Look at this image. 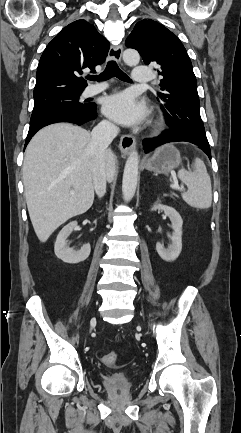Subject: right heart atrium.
<instances>
[{
    "mask_svg": "<svg viewBox=\"0 0 241 433\" xmlns=\"http://www.w3.org/2000/svg\"><path fill=\"white\" fill-rule=\"evenodd\" d=\"M103 127H104V129H106V130H110L112 127H111V125L109 124V123H107V122H104L103 123Z\"/></svg>",
    "mask_w": 241,
    "mask_h": 433,
    "instance_id": "1",
    "label": "right heart atrium"
}]
</instances>
